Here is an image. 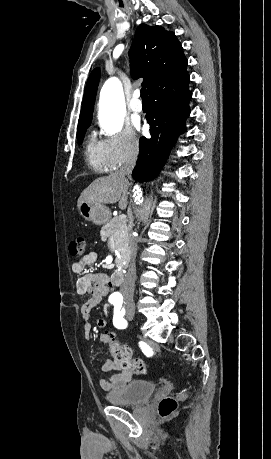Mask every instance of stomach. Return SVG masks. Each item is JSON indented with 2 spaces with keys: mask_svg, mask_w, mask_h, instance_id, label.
I'll return each instance as SVG.
<instances>
[{
  "mask_svg": "<svg viewBox=\"0 0 271 459\" xmlns=\"http://www.w3.org/2000/svg\"><path fill=\"white\" fill-rule=\"evenodd\" d=\"M80 216H83L88 222L93 224H108L111 220V212L103 206V204H97V202H82L79 208Z\"/></svg>",
  "mask_w": 271,
  "mask_h": 459,
  "instance_id": "stomach-1",
  "label": "stomach"
}]
</instances>
